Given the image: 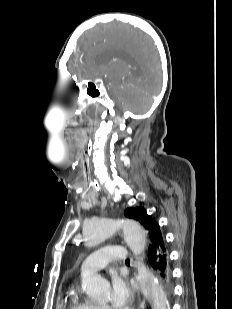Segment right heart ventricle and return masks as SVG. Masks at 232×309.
<instances>
[{
	"label": "right heart ventricle",
	"instance_id": "e07e8e85",
	"mask_svg": "<svg viewBox=\"0 0 232 309\" xmlns=\"http://www.w3.org/2000/svg\"><path fill=\"white\" fill-rule=\"evenodd\" d=\"M68 298V309H102L99 304L83 296L77 287L70 289Z\"/></svg>",
	"mask_w": 232,
	"mask_h": 309
}]
</instances>
